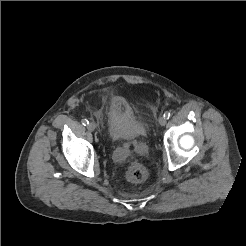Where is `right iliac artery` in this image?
I'll return each mask as SVG.
<instances>
[{
    "label": "right iliac artery",
    "instance_id": "right-iliac-artery-1",
    "mask_svg": "<svg viewBox=\"0 0 246 246\" xmlns=\"http://www.w3.org/2000/svg\"><path fill=\"white\" fill-rule=\"evenodd\" d=\"M81 122L84 126L89 124V121L87 119H82Z\"/></svg>",
    "mask_w": 246,
    "mask_h": 246
}]
</instances>
